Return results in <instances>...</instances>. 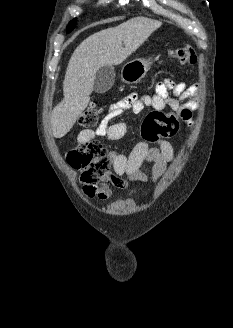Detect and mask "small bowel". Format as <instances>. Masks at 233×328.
<instances>
[{"label": "small bowel", "instance_id": "c3829d8e", "mask_svg": "<svg viewBox=\"0 0 233 328\" xmlns=\"http://www.w3.org/2000/svg\"><path fill=\"white\" fill-rule=\"evenodd\" d=\"M169 91H172L178 98L171 97ZM197 93V84L187 86L182 82L176 83L171 79H165L157 83L155 93L152 95L132 93L113 103L97 129L95 131H81L78 135V141L88 142L95 136L104 137L108 141L121 139L126 133L127 126L124 122L111 123L112 120L121 116L127 110L139 113L145 107H152L157 111L169 107L179 119L191 125L193 111L197 107ZM173 156L174 151L171 143L162 139L156 142L155 145L140 142L128 155L112 152L110 159L113 163V172L105 176L103 183L97 188L93 190L85 189V194L91 198L106 200L111 194L110 186L125 188L130 181L147 182L148 176L141 169L144 163L153 165L152 179L157 182L164 174Z\"/></svg>", "mask_w": 233, "mask_h": 328}]
</instances>
